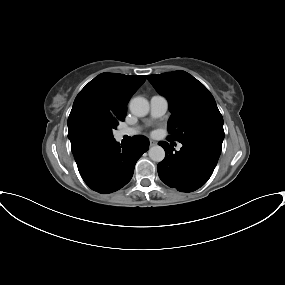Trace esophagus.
Segmentation results:
<instances>
[{
	"instance_id": "34e87169",
	"label": "esophagus",
	"mask_w": 285,
	"mask_h": 285,
	"mask_svg": "<svg viewBox=\"0 0 285 285\" xmlns=\"http://www.w3.org/2000/svg\"><path fill=\"white\" fill-rule=\"evenodd\" d=\"M149 143H150V146H151V147H153V146H155V145L157 144V142L154 141V140H150Z\"/></svg>"
}]
</instances>
